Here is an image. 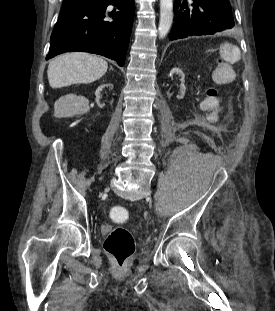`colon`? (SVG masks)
Listing matches in <instances>:
<instances>
[{"mask_svg": "<svg viewBox=\"0 0 275 311\" xmlns=\"http://www.w3.org/2000/svg\"><path fill=\"white\" fill-rule=\"evenodd\" d=\"M109 214L116 221L129 219L128 212L122 207L111 208ZM104 250L114 259L116 266L122 268L135 252V240L132 233L122 226L112 228L105 238Z\"/></svg>", "mask_w": 275, "mask_h": 311, "instance_id": "1", "label": "colon"}]
</instances>
